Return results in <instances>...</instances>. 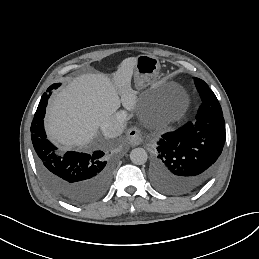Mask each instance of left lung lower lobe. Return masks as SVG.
<instances>
[{"label": "left lung lower lobe", "mask_w": 259, "mask_h": 259, "mask_svg": "<svg viewBox=\"0 0 259 259\" xmlns=\"http://www.w3.org/2000/svg\"><path fill=\"white\" fill-rule=\"evenodd\" d=\"M202 104L196 122L162 135L150 169L156 189L186 195L199 189L215 173L225 143V123L215 94L199 91Z\"/></svg>", "instance_id": "obj_1"}]
</instances>
